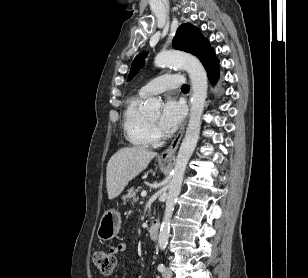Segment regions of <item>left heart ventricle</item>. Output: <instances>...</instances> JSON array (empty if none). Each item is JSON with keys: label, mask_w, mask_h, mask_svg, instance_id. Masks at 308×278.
Segmentation results:
<instances>
[{"label": "left heart ventricle", "mask_w": 308, "mask_h": 278, "mask_svg": "<svg viewBox=\"0 0 308 278\" xmlns=\"http://www.w3.org/2000/svg\"><path fill=\"white\" fill-rule=\"evenodd\" d=\"M158 119V115L150 117V121L155 122Z\"/></svg>", "instance_id": "b2bd125f"}]
</instances>
